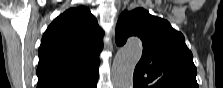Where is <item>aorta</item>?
Here are the masks:
<instances>
[{"label":"aorta","instance_id":"obj_1","mask_svg":"<svg viewBox=\"0 0 223 88\" xmlns=\"http://www.w3.org/2000/svg\"><path fill=\"white\" fill-rule=\"evenodd\" d=\"M142 42L138 38H131L121 48L112 65V84L114 88H132L134 69L142 56Z\"/></svg>","mask_w":223,"mask_h":88}]
</instances>
